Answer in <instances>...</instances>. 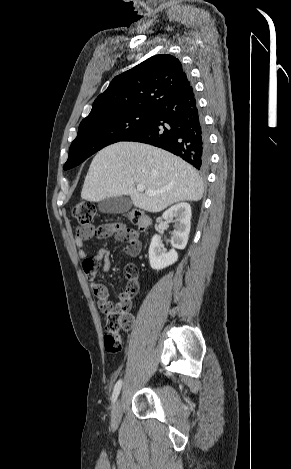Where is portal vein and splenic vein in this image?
<instances>
[{
    "label": "portal vein and splenic vein",
    "mask_w": 291,
    "mask_h": 469,
    "mask_svg": "<svg viewBox=\"0 0 291 469\" xmlns=\"http://www.w3.org/2000/svg\"><path fill=\"white\" fill-rule=\"evenodd\" d=\"M137 190L140 191V192H143L145 190V186L142 185V184H139V185H137ZM146 194L149 195V196H152V195H155L156 192L151 191V190H147Z\"/></svg>",
    "instance_id": "portal-vein-and-splenic-vein-1"
}]
</instances>
